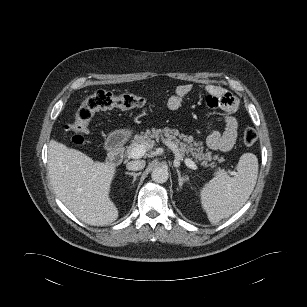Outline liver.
<instances>
[{
	"instance_id": "1",
	"label": "liver",
	"mask_w": 307,
	"mask_h": 307,
	"mask_svg": "<svg viewBox=\"0 0 307 307\" xmlns=\"http://www.w3.org/2000/svg\"><path fill=\"white\" fill-rule=\"evenodd\" d=\"M115 166L95 162L86 154L51 140L48 173L54 192L82 222L103 226L118 218L109 197Z\"/></svg>"
}]
</instances>
